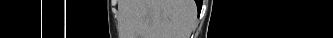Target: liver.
Returning a JSON list of instances; mask_svg holds the SVG:
<instances>
[{"label": "liver", "mask_w": 333, "mask_h": 38, "mask_svg": "<svg viewBox=\"0 0 333 38\" xmlns=\"http://www.w3.org/2000/svg\"><path fill=\"white\" fill-rule=\"evenodd\" d=\"M138 38H189L193 0H137Z\"/></svg>", "instance_id": "obj_1"}]
</instances>
